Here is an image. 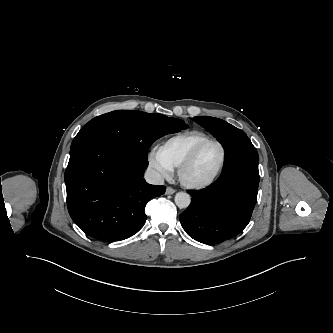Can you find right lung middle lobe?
<instances>
[{
  "instance_id": "obj_1",
  "label": "right lung middle lobe",
  "mask_w": 333,
  "mask_h": 333,
  "mask_svg": "<svg viewBox=\"0 0 333 333\" xmlns=\"http://www.w3.org/2000/svg\"><path fill=\"white\" fill-rule=\"evenodd\" d=\"M187 127L184 121L162 114L118 110L89 121L78 132L71 146L88 139L99 140L147 161L148 149L155 140Z\"/></svg>"
}]
</instances>
